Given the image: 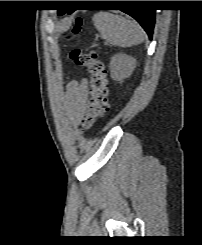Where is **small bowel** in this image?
<instances>
[{"instance_id": "small-bowel-1", "label": "small bowel", "mask_w": 202, "mask_h": 245, "mask_svg": "<svg viewBox=\"0 0 202 245\" xmlns=\"http://www.w3.org/2000/svg\"><path fill=\"white\" fill-rule=\"evenodd\" d=\"M87 81L84 79L80 83L71 81L67 85V97L75 105L81 106L86 94Z\"/></svg>"}]
</instances>
